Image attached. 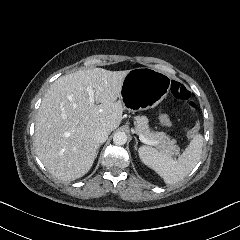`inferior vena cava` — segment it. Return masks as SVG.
<instances>
[{
  "label": "inferior vena cava",
  "mask_w": 240,
  "mask_h": 240,
  "mask_svg": "<svg viewBox=\"0 0 240 240\" xmlns=\"http://www.w3.org/2000/svg\"><path fill=\"white\" fill-rule=\"evenodd\" d=\"M110 134V131L107 130V129H99L96 131V135H95V138H96V141L97 142H100V143H103L106 141V139L108 138Z\"/></svg>",
  "instance_id": "obj_1"
}]
</instances>
